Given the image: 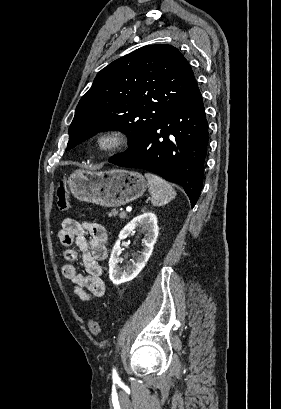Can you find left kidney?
<instances>
[{
  "instance_id": "obj_1",
  "label": "left kidney",
  "mask_w": 281,
  "mask_h": 409,
  "mask_svg": "<svg viewBox=\"0 0 281 409\" xmlns=\"http://www.w3.org/2000/svg\"><path fill=\"white\" fill-rule=\"evenodd\" d=\"M138 227H142L143 231H146V241L143 253H141L140 257L136 259V263L129 265V267H125V269H121L118 265L120 253L122 251L120 241L127 239V237L133 233L134 229H138ZM158 233L159 227L157 217L154 213H151V211H142V215L134 217L128 225H125L124 229H122L118 235L119 239L116 241L109 259V277L114 285L127 283V281H132V279H135V277L139 275L140 271L145 267L149 257H151L153 253Z\"/></svg>"
}]
</instances>
